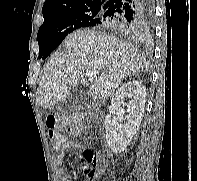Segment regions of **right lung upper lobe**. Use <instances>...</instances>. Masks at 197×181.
Returning a JSON list of instances; mask_svg holds the SVG:
<instances>
[{
	"mask_svg": "<svg viewBox=\"0 0 197 181\" xmlns=\"http://www.w3.org/2000/svg\"><path fill=\"white\" fill-rule=\"evenodd\" d=\"M108 0H47L42 8L43 17L90 5H104Z\"/></svg>",
	"mask_w": 197,
	"mask_h": 181,
	"instance_id": "right-lung-upper-lobe-1",
	"label": "right lung upper lobe"
}]
</instances>
